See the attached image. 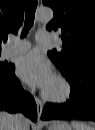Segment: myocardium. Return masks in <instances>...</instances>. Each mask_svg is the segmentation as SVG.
Wrapping results in <instances>:
<instances>
[{"mask_svg":"<svg viewBox=\"0 0 95 130\" xmlns=\"http://www.w3.org/2000/svg\"><path fill=\"white\" fill-rule=\"evenodd\" d=\"M53 79L58 81L62 86V91L60 94L52 95L47 92V90L44 88L42 90V97L50 102H56L61 103L67 101L72 93V87L70 82L61 74H55L53 76Z\"/></svg>","mask_w":95,"mask_h":130,"instance_id":"myocardium-1","label":"myocardium"}]
</instances>
